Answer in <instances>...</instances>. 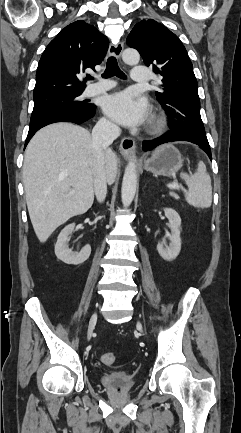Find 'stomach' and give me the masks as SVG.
I'll return each mask as SVG.
<instances>
[{
    "mask_svg": "<svg viewBox=\"0 0 241 433\" xmlns=\"http://www.w3.org/2000/svg\"><path fill=\"white\" fill-rule=\"evenodd\" d=\"M180 152L171 144L158 147L150 158L144 161L143 167L155 176H173L182 167Z\"/></svg>",
    "mask_w": 241,
    "mask_h": 433,
    "instance_id": "0dacf381",
    "label": "stomach"
}]
</instances>
